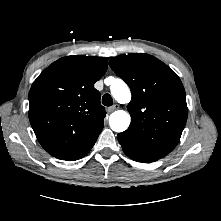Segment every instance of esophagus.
I'll return each instance as SVG.
<instances>
[{"label": "esophagus", "instance_id": "esophagus-1", "mask_svg": "<svg viewBox=\"0 0 221 221\" xmlns=\"http://www.w3.org/2000/svg\"><path fill=\"white\" fill-rule=\"evenodd\" d=\"M118 108H119V105L118 104H114L113 106L108 107L107 111L108 112H113V111L117 110Z\"/></svg>", "mask_w": 221, "mask_h": 221}]
</instances>
